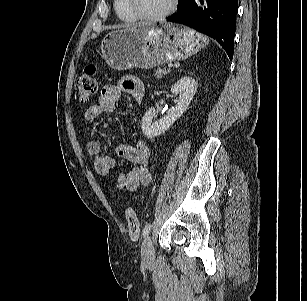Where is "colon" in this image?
I'll return each instance as SVG.
<instances>
[{
  "label": "colon",
  "mask_w": 307,
  "mask_h": 301,
  "mask_svg": "<svg viewBox=\"0 0 307 301\" xmlns=\"http://www.w3.org/2000/svg\"><path fill=\"white\" fill-rule=\"evenodd\" d=\"M97 67L93 64L84 69V73L77 78V94L79 100L83 103L92 99L98 89V80L96 78ZM125 217L128 224L129 233L132 236L139 234V224L135 211L131 207L125 208Z\"/></svg>",
  "instance_id": "5ec220e1"
}]
</instances>
